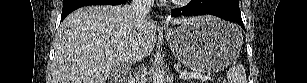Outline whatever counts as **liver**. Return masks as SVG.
<instances>
[{"label":"liver","mask_w":307,"mask_h":83,"mask_svg":"<svg viewBox=\"0 0 307 83\" xmlns=\"http://www.w3.org/2000/svg\"><path fill=\"white\" fill-rule=\"evenodd\" d=\"M189 19L170 22L182 24ZM155 42L154 22L149 18L139 25L128 5L81 7L59 28L53 83H105L114 68L131 62L135 48L142 57L149 56Z\"/></svg>","instance_id":"1"}]
</instances>
